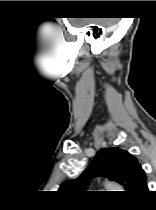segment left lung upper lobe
I'll list each match as a JSON object with an SVG mask.
<instances>
[{
    "label": "left lung upper lobe",
    "instance_id": "obj_1",
    "mask_svg": "<svg viewBox=\"0 0 156 210\" xmlns=\"http://www.w3.org/2000/svg\"><path fill=\"white\" fill-rule=\"evenodd\" d=\"M104 176L125 187L128 193H144L148 190L146 175L137 158L128 151L112 147L102 148L89 167L76 179L62 183L61 193L85 192L89 180Z\"/></svg>",
    "mask_w": 156,
    "mask_h": 210
}]
</instances>
